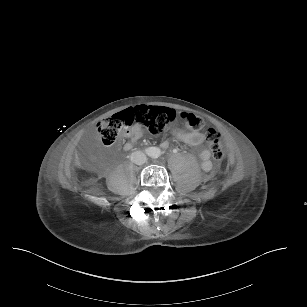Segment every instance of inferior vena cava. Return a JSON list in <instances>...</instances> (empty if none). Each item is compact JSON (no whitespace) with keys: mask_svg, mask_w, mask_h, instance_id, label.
Returning a JSON list of instances; mask_svg holds the SVG:
<instances>
[{"mask_svg":"<svg viewBox=\"0 0 307 307\" xmlns=\"http://www.w3.org/2000/svg\"><path fill=\"white\" fill-rule=\"evenodd\" d=\"M131 161L137 165H143L146 162V155L141 151H135L131 154Z\"/></svg>","mask_w":307,"mask_h":307,"instance_id":"inferior-vena-cava-1","label":"inferior vena cava"}]
</instances>
